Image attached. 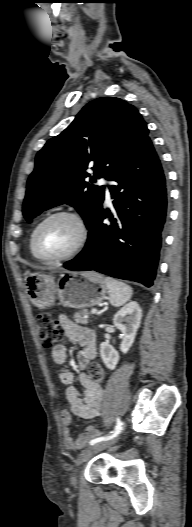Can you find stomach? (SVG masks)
Listing matches in <instances>:
<instances>
[{
	"instance_id": "stomach-1",
	"label": "stomach",
	"mask_w": 192,
	"mask_h": 527,
	"mask_svg": "<svg viewBox=\"0 0 192 527\" xmlns=\"http://www.w3.org/2000/svg\"><path fill=\"white\" fill-rule=\"evenodd\" d=\"M26 288L32 304L41 310L56 304L75 309L92 307L107 293L103 277L93 271L65 272L58 279L34 273L26 278Z\"/></svg>"
}]
</instances>
